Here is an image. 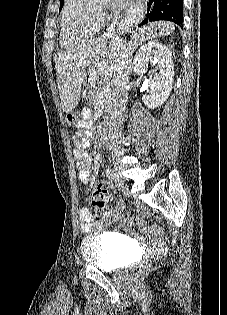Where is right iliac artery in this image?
<instances>
[{"label":"right iliac artery","mask_w":227,"mask_h":315,"mask_svg":"<svg viewBox=\"0 0 227 315\" xmlns=\"http://www.w3.org/2000/svg\"><path fill=\"white\" fill-rule=\"evenodd\" d=\"M106 176L108 177V179L110 181L116 182V180H117V175H116V173L113 170H107L106 171Z\"/></svg>","instance_id":"82829eb1"}]
</instances>
